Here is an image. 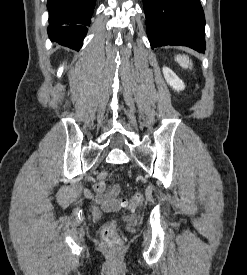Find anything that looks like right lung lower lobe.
I'll return each mask as SVG.
<instances>
[{
  "mask_svg": "<svg viewBox=\"0 0 247 275\" xmlns=\"http://www.w3.org/2000/svg\"><path fill=\"white\" fill-rule=\"evenodd\" d=\"M96 0H48V34L63 46L79 50Z\"/></svg>",
  "mask_w": 247,
  "mask_h": 275,
  "instance_id": "right-lung-lower-lobe-1",
  "label": "right lung lower lobe"
}]
</instances>
